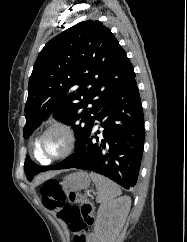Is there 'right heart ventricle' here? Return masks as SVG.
Listing matches in <instances>:
<instances>
[{
  "label": "right heart ventricle",
  "mask_w": 187,
  "mask_h": 242,
  "mask_svg": "<svg viewBox=\"0 0 187 242\" xmlns=\"http://www.w3.org/2000/svg\"><path fill=\"white\" fill-rule=\"evenodd\" d=\"M37 140H38V139H36V142H35L34 155H35L36 159H37L39 162H41V163H43V164H46V163H48V162H46V161L44 160V158H43V157L39 154V152H38V149H37Z\"/></svg>",
  "instance_id": "1"
}]
</instances>
